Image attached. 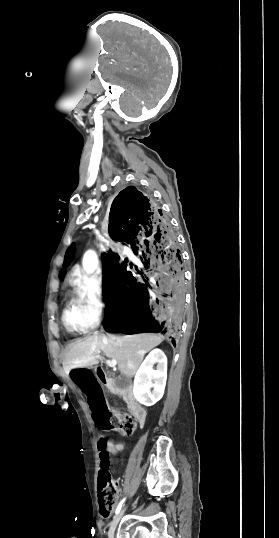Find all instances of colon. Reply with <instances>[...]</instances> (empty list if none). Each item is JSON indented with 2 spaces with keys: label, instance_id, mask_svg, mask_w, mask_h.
<instances>
[{
  "label": "colon",
  "instance_id": "obj_1",
  "mask_svg": "<svg viewBox=\"0 0 279 538\" xmlns=\"http://www.w3.org/2000/svg\"><path fill=\"white\" fill-rule=\"evenodd\" d=\"M110 429L123 436H131L135 431V422L128 414H118L110 418ZM100 453V471L98 476V499L100 514L109 518L118 499V488L109 472L111 450L109 443L103 439L98 444Z\"/></svg>",
  "mask_w": 279,
  "mask_h": 538
}]
</instances>
